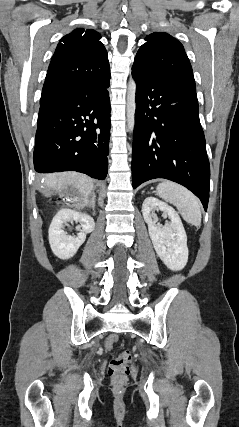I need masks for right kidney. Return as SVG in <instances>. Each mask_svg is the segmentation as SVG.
<instances>
[{"instance_id":"right-kidney-1","label":"right kidney","mask_w":239,"mask_h":427,"mask_svg":"<svg viewBox=\"0 0 239 427\" xmlns=\"http://www.w3.org/2000/svg\"><path fill=\"white\" fill-rule=\"evenodd\" d=\"M74 221L80 224L77 227L79 229L77 237H72L63 230L64 224ZM94 227V220L88 214L61 209L53 218L48 231L52 252L64 260L73 257L84 243L86 234L92 232Z\"/></svg>"}]
</instances>
